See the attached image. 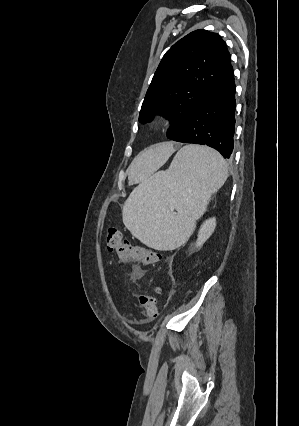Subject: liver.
Wrapping results in <instances>:
<instances>
[{"label": "liver", "mask_w": 299, "mask_h": 426, "mask_svg": "<svg viewBox=\"0 0 299 426\" xmlns=\"http://www.w3.org/2000/svg\"><path fill=\"white\" fill-rule=\"evenodd\" d=\"M172 142L155 144L141 151L131 163L128 173L131 180H140L152 174L174 153Z\"/></svg>", "instance_id": "liver-1"}]
</instances>
